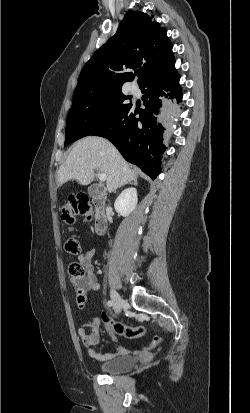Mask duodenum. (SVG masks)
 Returning <instances> with one entry per match:
<instances>
[{"label":"duodenum","mask_w":250,"mask_h":413,"mask_svg":"<svg viewBox=\"0 0 250 413\" xmlns=\"http://www.w3.org/2000/svg\"><path fill=\"white\" fill-rule=\"evenodd\" d=\"M93 203L95 206L94 231L97 235H102L108 226V218L105 212V197L100 193L94 194Z\"/></svg>","instance_id":"duodenum-1"}]
</instances>
